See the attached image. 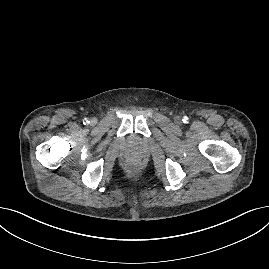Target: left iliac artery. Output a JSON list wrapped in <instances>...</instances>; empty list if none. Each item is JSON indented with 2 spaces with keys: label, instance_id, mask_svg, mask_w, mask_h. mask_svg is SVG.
Returning a JSON list of instances; mask_svg holds the SVG:
<instances>
[{
  "label": "left iliac artery",
  "instance_id": "obj_1",
  "mask_svg": "<svg viewBox=\"0 0 269 269\" xmlns=\"http://www.w3.org/2000/svg\"><path fill=\"white\" fill-rule=\"evenodd\" d=\"M182 121H183L184 123H188V117H187V116H184L183 119H182Z\"/></svg>",
  "mask_w": 269,
  "mask_h": 269
}]
</instances>
